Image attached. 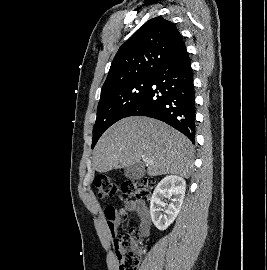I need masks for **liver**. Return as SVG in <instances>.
I'll return each instance as SVG.
<instances>
[{"instance_id": "liver-1", "label": "liver", "mask_w": 267, "mask_h": 270, "mask_svg": "<svg viewBox=\"0 0 267 270\" xmlns=\"http://www.w3.org/2000/svg\"><path fill=\"white\" fill-rule=\"evenodd\" d=\"M194 148L183 134L158 120L133 116L113 124L99 139L93 152V166L99 173L141 165L147 158V174L189 178Z\"/></svg>"}]
</instances>
